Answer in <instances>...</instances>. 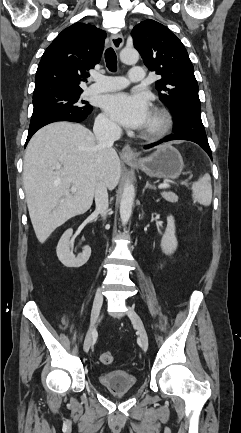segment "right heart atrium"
<instances>
[{
    "mask_svg": "<svg viewBox=\"0 0 241 433\" xmlns=\"http://www.w3.org/2000/svg\"><path fill=\"white\" fill-rule=\"evenodd\" d=\"M96 128L107 134H116L119 131L117 125L105 115L98 116Z\"/></svg>",
    "mask_w": 241,
    "mask_h": 433,
    "instance_id": "d8ad5b80",
    "label": "right heart atrium"
}]
</instances>
